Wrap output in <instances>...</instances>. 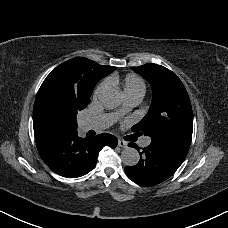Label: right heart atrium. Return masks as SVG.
<instances>
[{
  "mask_svg": "<svg viewBox=\"0 0 228 228\" xmlns=\"http://www.w3.org/2000/svg\"><path fill=\"white\" fill-rule=\"evenodd\" d=\"M104 94L105 89L102 86H100L95 92V98H102Z\"/></svg>",
  "mask_w": 228,
  "mask_h": 228,
  "instance_id": "1",
  "label": "right heart atrium"
}]
</instances>
